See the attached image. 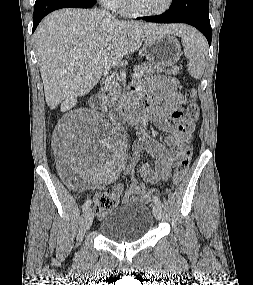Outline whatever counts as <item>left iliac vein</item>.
I'll return each instance as SVG.
<instances>
[{
  "instance_id": "left-iliac-vein-1",
  "label": "left iliac vein",
  "mask_w": 253,
  "mask_h": 285,
  "mask_svg": "<svg viewBox=\"0 0 253 285\" xmlns=\"http://www.w3.org/2000/svg\"><path fill=\"white\" fill-rule=\"evenodd\" d=\"M153 214L157 220H161V218H162V207H161V205L155 204L153 206Z\"/></svg>"
}]
</instances>
